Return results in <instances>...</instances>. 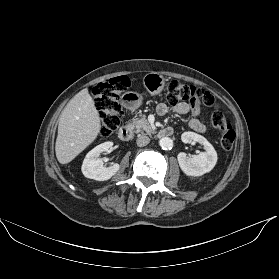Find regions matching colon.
<instances>
[{
	"label": "colon",
	"instance_id": "5ec220e1",
	"mask_svg": "<svg viewBox=\"0 0 279 279\" xmlns=\"http://www.w3.org/2000/svg\"><path fill=\"white\" fill-rule=\"evenodd\" d=\"M129 86L130 80L126 76H119L100 83L95 88V105L101 119L102 137H108L118 128L121 114L120 96ZM165 99L173 106L185 101L195 106H216V100L209 91L179 81H171L167 84ZM211 123L220 131L221 147L225 150L232 149L236 134L227 123L224 113L215 110L211 115Z\"/></svg>",
	"mask_w": 279,
	"mask_h": 279
}]
</instances>
